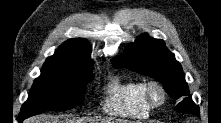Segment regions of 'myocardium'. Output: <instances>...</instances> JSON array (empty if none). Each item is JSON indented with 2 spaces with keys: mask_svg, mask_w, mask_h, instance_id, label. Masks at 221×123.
Listing matches in <instances>:
<instances>
[{
  "mask_svg": "<svg viewBox=\"0 0 221 123\" xmlns=\"http://www.w3.org/2000/svg\"><path fill=\"white\" fill-rule=\"evenodd\" d=\"M143 96L151 108L162 106L167 99L164 86L156 80H149L143 83Z\"/></svg>",
  "mask_w": 221,
  "mask_h": 123,
  "instance_id": "1",
  "label": "myocardium"
}]
</instances>
